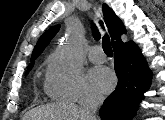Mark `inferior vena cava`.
I'll list each match as a JSON object with an SVG mask.
<instances>
[{
	"label": "inferior vena cava",
	"instance_id": "1",
	"mask_svg": "<svg viewBox=\"0 0 165 120\" xmlns=\"http://www.w3.org/2000/svg\"><path fill=\"white\" fill-rule=\"evenodd\" d=\"M104 97L98 93L90 92L81 104V120H96L97 108L103 103Z\"/></svg>",
	"mask_w": 165,
	"mask_h": 120
}]
</instances>
